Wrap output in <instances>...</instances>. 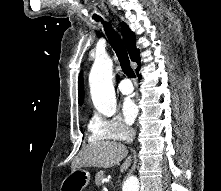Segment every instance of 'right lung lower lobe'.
Wrapping results in <instances>:
<instances>
[{"label": "right lung lower lobe", "mask_w": 221, "mask_h": 191, "mask_svg": "<svg viewBox=\"0 0 221 191\" xmlns=\"http://www.w3.org/2000/svg\"><path fill=\"white\" fill-rule=\"evenodd\" d=\"M136 71H137V74H138V71H139V70H136ZM138 77L141 78V75H138Z\"/></svg>", "instance_id": "obj_1"}]
</instances>
